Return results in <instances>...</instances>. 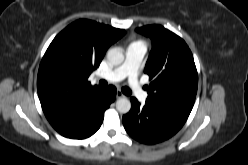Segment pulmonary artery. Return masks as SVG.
Returning a JSON list of instances; mask_svg holds the SVG:
<instances>
[{"instance_id":"obj_1","label":"pulmonary artery","mask_w":248,"mask_h":165,"mask_svg":"<svg viewBox=\"0 0 248 165\" xmlns=\"http://www.w3.org/2000/svg\"><path fill=\"white\" fill-rule=\"evenodd\" d=\"M146 53V46L141 42L131 43L125 54L124 62L116 69L110 71L101 77L109 82H119L128 78V83L140 101H146L148 93L143 90L138 80V68Z\"/></svg>"}]
</instances>
